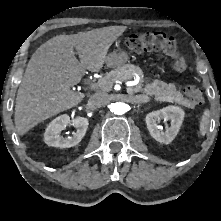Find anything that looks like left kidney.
I'll return each instance as SVG.
<instances>
[{
	"instance_id": "obj_1",
	"label": "left kidney",
	"mask_w": 221,
	"mask_h": 221,
	"mask_svg": "<svg viewBox=\"0 0 221 221\" xmlns=\"http://www.w3.org/2000/svg\"><path fill=\"white\" fill-rule=\"evenodd\" d=\"M184 111L177 106H168L161 110L147 114L145 121L150 135L160 143L169 144L178 134L184 119ZM164 120L171 121V126L166 127L165 131L160 129L158 123Z\"/></svg>"
}]
</instances>
